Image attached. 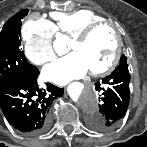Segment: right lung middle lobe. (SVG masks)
Listing matches in <instances>:
<instances>
[{
	"label": "right lung middle lobe",
	"instance_id": "1",
	"mask_svg": "<svg viewBox=\"0 0 147 147\" xmlns=\"http://www.w3.org/2000/svg\"><path fill=\"white\" fill-rule=\"evenodd\" d=\"M27 13L28 10H22L15 14L0 32V85L37 70L20 48L21 20Z\"/></svg>",
	"mask_w": 147,
	"mask_h": 147
}]
</instances>
